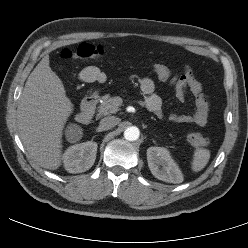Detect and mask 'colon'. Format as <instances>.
<instances>
[{
	"mask_svg": "<svg viewBox=\"0 0 248 248\" xmlns=\"http://www.w3.org/2000/svg\"><path fill=\"white\" fill-rule=\"evenodd\" d=\"M105 47L88 43L80 44L76 49H64L61 57L66 60L98 61L106 55ZM148 70L153 73L160 81L170 82L175 77V72L167 65L162 63H152L148 65ZM188 141L196 147L207 146L209 140L197 132H190L187 135Z\"/></svg>",
	"mask_w": 248,
	"mask_h": 248,
	"instance_id": "colon-1",
	"label": "colon"
}]
</instances>
